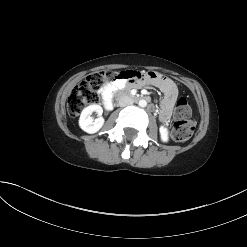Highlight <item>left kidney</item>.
<instances>
[{
    "label": "left kidney",
    "instance_id": "left-kidney-1",
    "mask_svg": "<svg viewBox=\"0 0 247 247\" xmlns=\"http://www.w3.org/2000/svg\"><path fill=\"white\" fill-rule=\"evenodd\" d=\"M159 131H160L161 140L163 142H167L169 140L168 129L166 127H164V126H160Z\"/></svg>",
    "mask_w": 247,
    "mask_h": 247
}]
</instances>
